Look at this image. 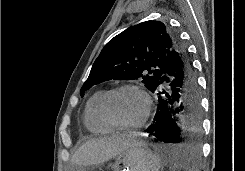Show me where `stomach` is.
Here are the masks:
<instances>
[{
    "label": "stomach",
    "mask_w": 245,
    "mask_h": 171,
    "mask_svg": "<svg viewBox=\"0 0 245 171\" xmlns=\"http://www.w3.org/2000/svg\"><path fill=\"white\" fill-rule=\"evenodd\" d=\"M111 167L115 171H159L161 159L146 145L133 146L116 156ZM72 171H87V169L78 166Z\"/></svg>",
    "instance_id": "obj_1"
}]
</instances>
